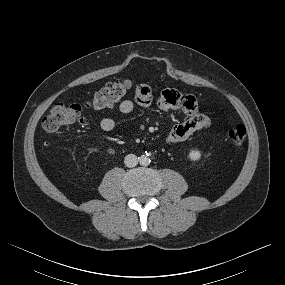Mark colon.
Returning <instances> with one entry per match:
<instances>
[{"label": "colon", "instance_id": "colon-1", "mask_svg": "<svg viewBox=\"0 0 285 285\" xmlns=\"http://www.w3.org/2000/svg\"><path fill=\"white\" fill-rule=\"evenodd\" d=\"M130 86L131 84L128 80L110 82L96 92L86 103V106L95 110L110 108L127 94ZM82 120L83 113L80 105L58 103L43 118L42 126L48 132H55L64 126L80 123ZM228 137L232 143L237 145L242 144L246 137L245 126L242 124L234 126L228 132Z\"/></svg>", "mask_w": 285, "mask_h": 285}]
</instances>
